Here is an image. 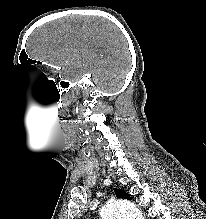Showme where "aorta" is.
I'll return each mask as SVG.
<instances>
[{
  "label": "aorta",
  "mask_w": 206,
  "mask_h": 219,
  "mask_svg": "<svg viewBox=\"0 0 206 219\" xmlns=\"http://www.w3.org/2000/svg\"><path fill=\"white\" fill-rule=\"evenodd\" d=\"M101 219H145L135 204L126 200H115L101 208Z\"/></svg>",
  "instance_id": "762f6f07"
}]
</instances>
